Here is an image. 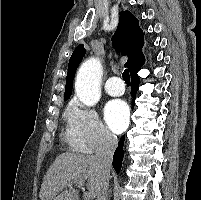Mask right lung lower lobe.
<instances>
[{
    "label": "right lung lower lobe",
    "mask_w": 201,
    "mask_h": 200,
    "mask_svg": "<svg viewBox=\"0 0 201 200\" xmlns=\"http://www.w3.org/2000/svg\"><path fill=\"white\" fill-rule=\"evenodd\" d=\"M132 81H131V86H132V93H133V105L135 101V95L137 93V89L139 87V77L137 75V72L131 74ZM124 138L125 136H122L119 143L118 147L115 150L114 156H113V167L117 173L120 172L121 166H122V161H123V144H124Z\"/></svg>",
    "instance_id": "98d812e1"
}]
</instances>
